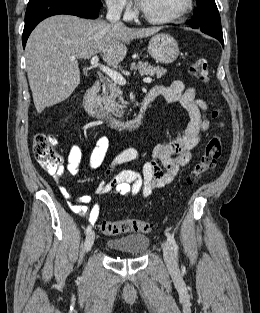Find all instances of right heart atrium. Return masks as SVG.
I'll return each mask as SVG.
<instances>
[{
	"mask_svg": "<svg viewBox=\"0 0 260 313\" xmlns=\"http://www.w3.org/2000/svg\"><path fill=\"white\" fill-rule=\"evenodd\" d=\"M109 13L127 17L131 14L132 6L129 0H105Z\"/></svg>",
	"mask_w": 260,
	"mask_h": 313,
	"instance_id": "1",
	"label": "right heart atrium"
}]
</instances>
